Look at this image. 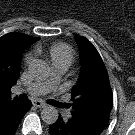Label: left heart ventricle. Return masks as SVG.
Listing matches in <instances>:
<instances>
[{
    "instance_id": "b2bd125f",
    "label": "left heart ventricle",
    "mask_w": 135,
    "mask_h": 135,
    "mask_svg": "<svg viewBox=\"0 0 135 135\" xmlns=\"http://www.w3.org/2000/svg\"><path fill=\"white\" fill-rule=\"evenodd\" d=\"M51 82H52V78H50L47 83H51Z\"/></svg>"
}]
</instances>
